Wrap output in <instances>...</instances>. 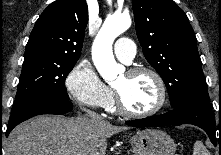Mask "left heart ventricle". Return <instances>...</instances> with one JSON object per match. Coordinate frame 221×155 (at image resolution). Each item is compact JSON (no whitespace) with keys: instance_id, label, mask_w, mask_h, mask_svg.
Segmentation results:
<instances>
[{"instance_id":"obj_1","label":"left heart ventricle","mask_w":221,"mask_h":155,"mask_svg":"<svg viewBox=\"0 0 221 155\" xmlns=\"http://www.w3.org/2000/svg\"><path fill=\"white\" fill-rule=\"evenodd\" d=\"M125 103L135 112H146L156 106L159 90L155 79L149 74L129 76L126 72L114 83Z\"/></svg>"}]
</instances>
